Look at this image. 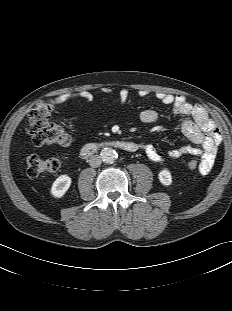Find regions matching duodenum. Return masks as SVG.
Returning <instances> with one entry per match:
<instances>
[{
    "label": "duodenum",
    "mask_w": 232,
    "mask_h": 311,
    "mask_svg": "<svg viewBox=\"0 0 232 311\" xmlns=\"http://www.w3.org/2000/svg\"><path fill=\"white\" fill-rule=\"evenodd\" d=\"M105 147H114L130 153L135 152L138 149L137 144L130 141H101L84 145L81 149V156L84 158L90 157Z\"/></svg>",
    "instance_id": "duodenum-1"
}]
</instances>
